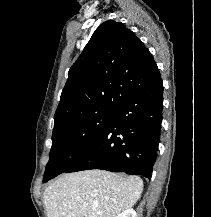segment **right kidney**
Returning a JSON list of instances; mask_svg holds the SVG:
<instances>
[{
	"label": "right kidney",
	"instance_id": "ca27d5eb",
	"mask_svg": "<svg viewBox=\"0 0 211 217\" xmlns=\"http://www.w3.org/2000/svg\"><path fill=\"white\" fill-rule=\"evenodd\" d=\"M117 217H137L135 210L129 208L119 214Z\"/></svg>",
	"mask_w": 211,
	"mask_h": 217
}]
</instances>
